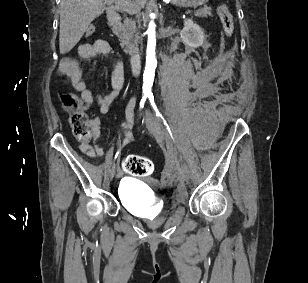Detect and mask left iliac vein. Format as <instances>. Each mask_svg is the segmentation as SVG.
I'll list each match as a JSON object with an SVG mask.
<instances>
[{
	"instance_id": "4c4485c4",
	"label": "left iliac vein",
	"mask_w": 308,
	"mask_h": 283,
	"mask_svg": "<svg viewBox=\"0 0 308 283\" xmlns=\"http://www.w3.org/2000/svg\"><path fill=\"white\" fill-rule=\"evenodd\" d=\"M146 124L149 129V131L156 137V138H162L161 130L158 126V124L152 119L150 114H147L146 116ZM181 178L185 181L190 180L191 178V172L187 165H183L181 168Z\"/></svg>"
}]
</instances>
